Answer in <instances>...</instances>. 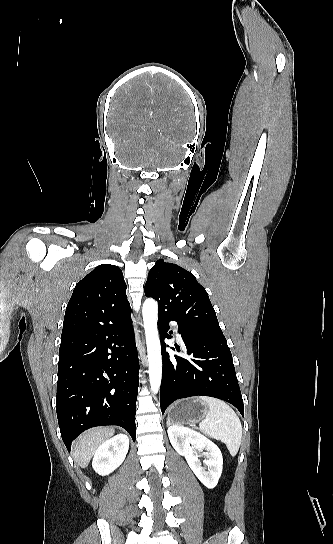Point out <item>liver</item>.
Instances as JSON below:
<instances>
[{
  "label": "liver",
  "instance_id": "1",
  "mask_svg": "<svg viewBox=\"0 0 333 544\" xmlns=\"http://www.w3.org/2000/svg\"><path fill=\"white\" fill-rule=\"evenodd\" d=\"M114 435L113 428L100 427L86 431L73 443V459L86 468L98 447Z\"/></svg>",
  "mask_w": 333,
  "mask_h": 544
}]
</instances>
